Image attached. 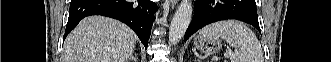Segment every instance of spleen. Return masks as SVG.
<instances>
[{"label": "spleen", "mask_w": 331, "mask_h": 62, "mask_svg": "<svg viewBox=\"0 0 331 62\" xmlns=\"http://www.w3.org/2000/svg\"><path fill=\"white\" fill-rule=\"evenodd\" d=\"M199 35L221 38L231 46L239 47L235 62H262V50L255 34L244 24L235 20L213 23L202 28Z\"/></svg>", "instance_id": "obj_1"}]
</instances>
